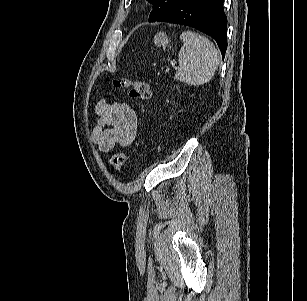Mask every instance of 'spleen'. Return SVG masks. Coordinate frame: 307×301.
<instances>
[{
  "mask_svg": "<svg viewBox=\"0 0 307 301\" xmlns=\"http://www.w3.org/2000/svg\"><path fill=\"white\" fill-rule=\"evenodd\" d=\"M180 39L183 46L178 54L179 67L174 79L193 86L207 83L218 68V50L206 37L193 31H184Z\"/></svg>",
  "mask_w": 307,
  "mask_h": 301,
  "instance_id": "1",
  "label": "spleen"
}]
</instances>
